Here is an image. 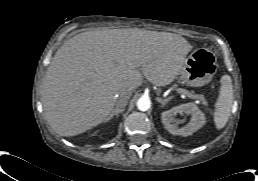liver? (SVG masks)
<instances>
[{"label": "liver", "mask_w": 258, "mask_h": 181, "mask_svg": "<svg viewBox=\"0 0 258 181\" xmlns=\"http://www.w3.org/2000/svg\"><path fill=\"white\" fill-rule=\"evenodd\" d=\"M192 48L177 34L137 28L77 34L57 50L43 79L47 122L63 137L99 125L143 76L156 86L170 84Z\"/></svg>", "instance_id": "6515ba94"}]
</instances>
